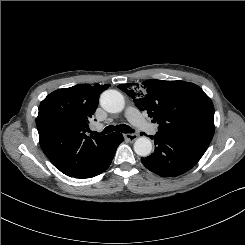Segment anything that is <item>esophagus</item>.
I'll use <instances>...</instances> for the list:
<instances>
[{
  "instance_id": "34e87169",
  "label": "esophagus",
  "mask_w": 245,
  "mask_h": 245,
  "mask_svg": "<svg viewBox=\"0 0 245 245\" xmlns=\"http://www.w3.org/2000/svg\"><path fill=\"white\" fill-rule=\"evenodd\" d=\"M124 138L128 141H135L138 138V135L127 133V134H124Z\"/></svg>"
}]
</instances>
